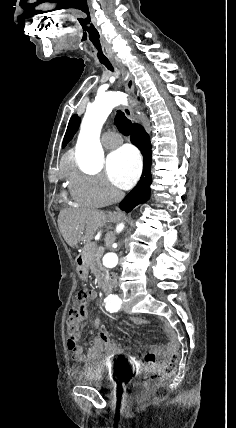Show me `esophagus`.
<instances>
[{"mask_svg": "<svg viewBox=\"0 0 236 428\" xmlns=\"http://www.w3.org/2000/svg\"><path fill=\"white\" fill-rule=\"evenodd\" d=\"M115 65H117L121 69L123 75L128 77L127 81H126V85H125V92L129 96V98H132L134 96V78H133L132 74L129 73L127 75L126 68L121 63L115 62ZM123 111H124V114L126 115V117H128L133 123L136 122V119L133 118V116H132V108L130 105L124 107Z\"/></svg>", "mask_w": 236, "mask_h": 428, "instance_id": "esophagus-1", "label": "esophagus"}]
</instances>
